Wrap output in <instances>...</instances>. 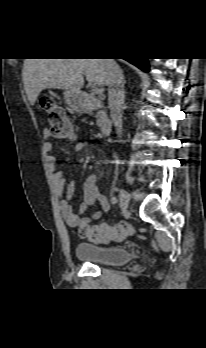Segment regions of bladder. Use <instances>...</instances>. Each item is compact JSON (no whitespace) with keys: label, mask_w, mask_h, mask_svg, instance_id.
I'll return each instance as SVG.
<instances>
[{"label":"bladder","mask_w":206,"mask_h":348,"mask_svg":"<svg viewBox=\"0 0 206 348\" xmlns=\"http://www.w3.org/2000/svg\"><path fill=\"white\" fill-rule=\"evenodd\" d=\"M75 255L83 261L105 265L122 264L132 260V254L128 249L90 243H78L75 247Z\"/></svg>","instance_id":"obj_1"}]
</instances>
